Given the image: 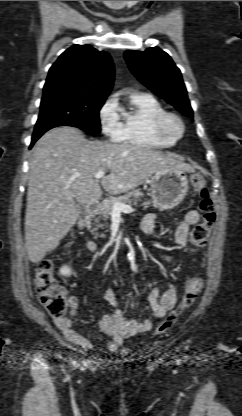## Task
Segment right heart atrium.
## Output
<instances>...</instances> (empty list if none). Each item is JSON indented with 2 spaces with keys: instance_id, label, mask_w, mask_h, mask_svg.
Returning <instances> with one entry per match:
<instances>
[{
  "instance_id": "d8ad5b80",
  "label": "right heart atrium",
  "mask_w": 242,
  "mask_h": 416,
  "mask_svg": "<svg viewBox=\"0 0 242 416\" xmlns=\"http://www.w3.org/2000/svg\"><path fill=\"white\" fill-rule=\"evenodd\" d=\"M98 118L102 132L116 139L122 128V119L119 105L115 96H109L98 112Z\"/></svg>"
}]
</instances>
